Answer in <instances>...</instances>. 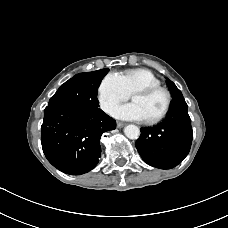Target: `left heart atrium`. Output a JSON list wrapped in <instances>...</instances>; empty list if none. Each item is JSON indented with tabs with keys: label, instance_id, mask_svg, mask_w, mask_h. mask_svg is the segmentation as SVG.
I'll return each mask as SVG.
<instances>
[{
	"label": "left heart atrium",
	"instance_id": "39dd6f15",
	"mask_svg": "<svg viewBox=\"0 0 228 228\" xmlns=\"http://www.w3.org/2000/svg\"><path fill=\"white\" fill-rule=\"evenodd\" d=\"M111 114L114 117L118 119H123V120H137V121L144 120V117L140 108L133 102L113 108V110L111 111Z\"/></svg>",
	"mask_w": 228,
	"mask_h": 228
}]
</instances>
